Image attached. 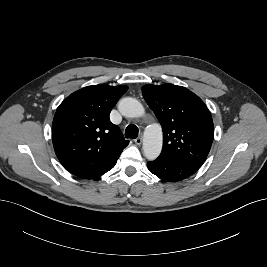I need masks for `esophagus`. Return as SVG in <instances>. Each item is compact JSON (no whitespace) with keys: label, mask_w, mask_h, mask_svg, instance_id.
<instances>
[{"label":"esophagus","mask_w":267,"mask_h":267,"mask_svg":"<svg viewBox=\"0 0 267 267\" xmlns=\"http://www.w3.org/2000/svg\"><path fill=\"white\" fill-rule=\"evenodd\" d=\"M134 142L137 144V145H141L142 144V137H138L134 140Z\"/></svg>","instance_id":"obj_1"}]
</instances>
